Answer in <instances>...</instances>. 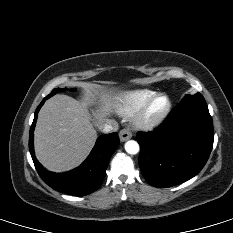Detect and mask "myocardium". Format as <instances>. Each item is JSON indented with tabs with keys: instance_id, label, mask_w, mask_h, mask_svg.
I'll use <instances>...</instances> for the list:
<instances>
[{
	"instance_id": "f54148a6",
	"label": "myocardium",
	"mask_w": 233,
	"mask_h": 233,
	"mask_svg": "<svg viewBox=\"0 0 233 233\" xmlns=\"http://www.w3.org/2000/svg\"><path fill=\"white\" fill-rule=\"evenodd\" d=\"M159 98H164L166 100V106L164 110L155 118L149 117V110L152 104ZM171 100L164 93H156L152 97H150L141 107L140 109L133 115L134 125L141 130H152L158 126H160L165 119L168 117L171 111Z\"/></svg>"
}]
</instances>
